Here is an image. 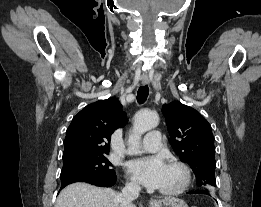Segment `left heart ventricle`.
<instances>
[{"mask_svg": "<svg viewBox=\"0 0 261 207\" xmlns=\"http://www.w3.org/2000/svg\"><path fill=\"white\" fill-rule=\"evenodd\" d=\"M182 179V173L180 169L166 165L162 179L159 185V189H172L177 187Z\"/></svg>", "mask_w": 261, "mask_h": 207, "instance_id": "obj_1", "label": "left heart ventricle"}]
</instances>
